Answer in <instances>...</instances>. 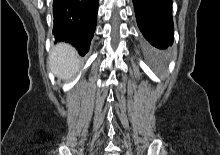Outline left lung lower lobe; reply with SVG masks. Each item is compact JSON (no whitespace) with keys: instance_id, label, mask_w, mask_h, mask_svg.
<instances>
[{"instance_id":"0a47b994","label":"left lung lower lobe","mask_w":220,"mask_h":155,"mask_svg":"<svg viewBox=\"0 0 220 155\" xmlns=\"http://www.w3.org/2000/svg\"><path fill=\"white\" fill-rule=\"evenodd\" d=\"M137 25L156 49H166L174 40L172 0H133Z\"/></svg>"}]
</instances>
